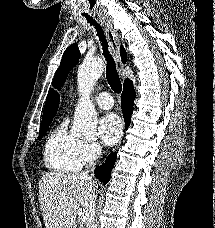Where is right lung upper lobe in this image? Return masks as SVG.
Segmentation results:
<instances>
[{
	"instance_id": "obj_1",
	"label": "right lung upper lobe",
	"mask_w": 215,
	"mask_h": 228,
	"mask_svg": "<svg viewBox=\"0 0 215 228\" xmlns=\"http://www.w3.org/2000/svg\"><path fill=\"white\" fill-rule=\"evenodd\" d=\"M121 57H122L123 63H125L127 59V53L123 47H121ZM58 105H59V95L53 92L52 90H50L45 103L41 124L52 122V119L56 115V112L58 110Z\"/></svg>"
}]
</instances>
